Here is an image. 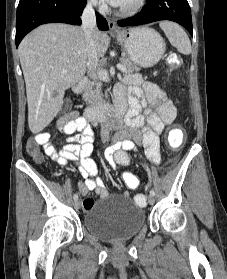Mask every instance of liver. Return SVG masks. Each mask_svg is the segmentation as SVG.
<instances>
[{"label": "liver", "mask_w": 227, "mask_h": 279, "mask_svg": "<svg viewBox=\"0 0 227 279\" xmlns=\"http://www.w3.org/2000/svg\"><path fill=\"white\" fill-rule=\"evenodd\" d=\"M95 41L98 57H103L110 38L96 29ZM18 54L26 84L28 125L36 134L50 124L62 107L65 91L87 71L84 31L61 23L41 25L22 40Z\"/></svg>", "instance_id": "liver-1"}]
</instances>
